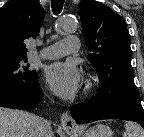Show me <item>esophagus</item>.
<instances>
[{"label": "esophagus", "mask_w": 144, "mask_h": 137, "mask_svg": "<svg viewBox=\"0 0 144 137\" xmlns=\"http://www.w3.org/2000/svg\"><path fill=\"white\" fill-rule=\"evenodd\" d=\"M60 123L65 132H72L77 128L74 118L69 113H63L60 118Z\"/></svg>", "instance_id": "1"}]
</instances>
